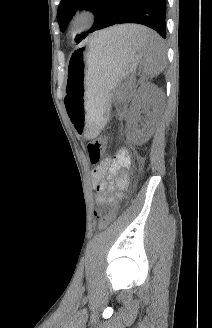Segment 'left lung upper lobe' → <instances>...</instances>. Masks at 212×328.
<instances>
[{
    "label": "left lung upper lobe",
    "instance_id": "5c2ea615",
    "mask_svg": "<svg viewBox=\"0 0 212 328\" xmlns=\"http://www.w3.org/2000/svg\"><path fill=\"white\" fill-rule=\"evenodd\" d=\"M106 0H61L58 11L57 20L61 31L66 28L67 22L70 21L77 9H89L95 13L96 20L89 32L94 31L98 25L105 8ZM86 37V33L75 38L77 43L81 42Z\"/></svg>",
    "mask_w": 212,
    "mask_h": 328
}]
</instances>
